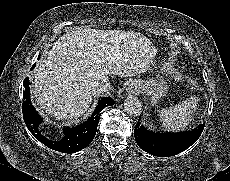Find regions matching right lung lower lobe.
I'll return each mask as SVG.
<instances>
[{"instance_id":"98d812e1","label":"right lung lower lobe","mask_w":230,"mask_h":181,"mask_svg":"<svg viewBox=\"0 0 230 181\" xmlns=\"http://www.w3.org/2000/svg\"><path fill=\"white\" fill-rule=\"evenodd\" d=\"M34 66L35 64L32 68ZM23 86L25 90L23 91L24 102L22 111L27 128L34 137L45 146L63 153H74L87 147L95 137L101 116L100 112L106 106H112L114 104V100L110 97L103 98L94 110L93 115L85 123L72 128L66 127L64 129V137L59 141H52L45 137L39 130V124L42 122V119L31 105L28 78L24 80Z\"/></svg>"}]
</instances>
